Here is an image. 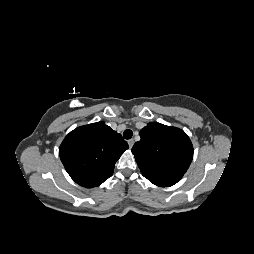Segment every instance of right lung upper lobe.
<instances>
[{
  "mask_svg": "<svg viewBox=\"0 0 254 254\" xmlns=\"http://www.w3.org/2000/svg\"><path fill=\"white\" fill-rule=\"evenodd\" d=\"M128 148L121 134L97 122L71 131L60 145L59 156L77 184L93 188L112 176L116 161Z\"/></svg>",
  "mask_w": 254,
  "mask_h": 254,
  "instance_id": "1",
  "label": "right lung upper lobe"
}]
</instances>
